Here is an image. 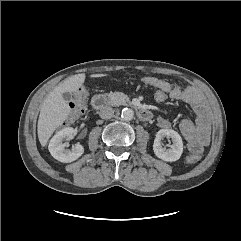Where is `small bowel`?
I'll list each match as a JSON object with an SVG mask.
<instances>
[{
    "instance_id": "obj_1",
    "label": "small bowel",
    "mask_w": 241,
    "mask_h": 241,
    "mask_svg": "<svg viewBox=\"0 0 241 241\" xmlns=\"http://www.w3.org/2000/svg\"><path fill=\"white\" fill-rule=\"evenodd\" d=\"M142 81L154 88L165 90L172 100L188 104L195 113V121L183 119L180 123V132L187 142V147L193 154L202 152L210 139V117L207 105L202 95L193 87L182 88L170 81L153 76H144ZM160 128H168L171 123L168 119H157Z\"/></svg>"
}]
</instances>
